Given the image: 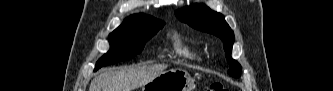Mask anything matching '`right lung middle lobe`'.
<instances>
[{
    "label": "right lung middle lobe",
    "mask_w": 333,
    "mask_h": 91,
    "mask_svg": "<svg viewBox=\"0 0 333 91\" xmlns=\"http://www.w3.org/2000/svg\"><path fill=\"white\" fill-rule=\"evenodd\" d=\"M164 24L161 20L121 24L109 35L110 50L97 61L94 71L139 54Z\"/></svg>",
    "instance_id": "1"
}]
</instances>
